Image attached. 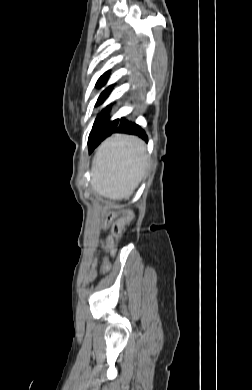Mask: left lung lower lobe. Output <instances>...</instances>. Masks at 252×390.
Masks as SVG:
<instances>
[{
    "label": "left lung lower lobe",
    "instance_id": "obj_1",
    "mask_svg": "<svg viewBox=\"0 0 252 390\" xmlns=\"http://www.w3.org/2000/svg\"><path fill=\"white\" fill-rule=\"evenodd\" d=\"M127 133L141 137L148 141L145 131L135 122L128 121L124 117L114 121H108L106 115L96 118L92 131L89 135L88 146L91 153L102 140L112 133Z\"/></svg>",
    "mask_w": 252,
    "mask_h": 390
}]
</instances>
